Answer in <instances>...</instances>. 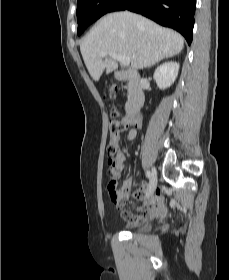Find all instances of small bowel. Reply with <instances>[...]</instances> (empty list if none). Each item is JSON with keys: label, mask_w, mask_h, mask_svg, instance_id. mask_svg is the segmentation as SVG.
<instances>
[{"label": "small bowel", "mask_w": 229, "mask_h": 280, "mask_svg": "<svg viewBox=\"0 0 229 280\" xmlns=\"http://www.w3.org/2000/svg\"><path fill=\"white\" fill-rule=\"evenodd\" d=\"M135 135V131L131 130L128 132L127 139L132 140L135 138ZM125 161V150L122 149L115 158L113 169V177L116 182L120 177V172L124 168ZM108 191L111 201L124 216L127 221V226L129 227L137 225L143 220L162 217L166 213L162 191L160 189L150 191V188L146 183L140 184L134 190V181L132 178L126 179L120 187H117V185L116 187H112V180L110 179L108 183ZM131 198H136L139 201V205L136 207V211L139 214H134L125 209Z\"/></svg>", "instance_id": "c3829d8e"}]
</instances>
